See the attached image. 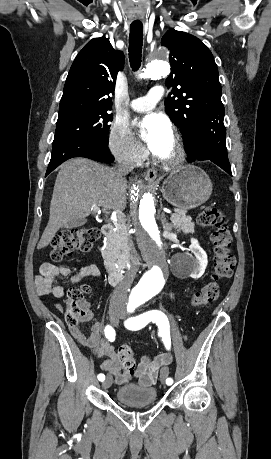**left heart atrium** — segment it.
<instances>
[{"mask_svg": "<svg viewBox=\"0 0 271 459\" xmlns=\"http://www.w3.org/2000/svg\"><path fill=\"white\" fill-rule=\"evenodd\" d=\"M141 126L143 128V139L153 152H156L160 144L171 136L170 124L162 115L151 114L146 116Z\"/></svg>", "mask_w": 271, "mask_h": 459, "instance_id": "1", "label": "left heart atrium"}]
</instances>
